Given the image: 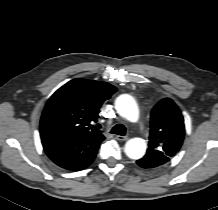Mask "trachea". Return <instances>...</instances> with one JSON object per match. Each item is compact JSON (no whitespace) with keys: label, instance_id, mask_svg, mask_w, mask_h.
<instances>
[{"label":"trachea","instance_id":"trachea-1","mask_svg":"<svg viewBox=\"0 0 218 210\" xmlns=\"http://www.w3.org/2000/svg\"><path fill=\"white\" fill-rule=\"evenodd\" d=\"M98 128H101V127L98 125ZM110 133L124 136L126 134V128L122 124H117L112 128Z\"/></svg>","mask_w":218,"mask_h":210}]
</instances>
